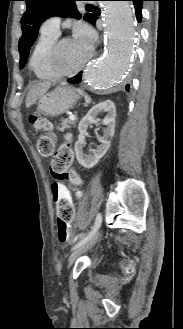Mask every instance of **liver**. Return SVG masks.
Returning a JSON list of instances; mask_svg holds the SVG:
<instances>
[{"label": "liver", "instance_id": "6515ba94", "mask_svg": "<svg viewBox=\"0 0 183 329\" xmlns=\"http://www.w3.org/2000/svg\"><path fill=\"white\" fill-rule=\"evenodd\" d=\"M51 87L50 82L37 83L29 90L26 97V107L32 106L39 98H41Z\"/></svg>", "mask_w": 183, "mask_h": 329}]
</instances>
